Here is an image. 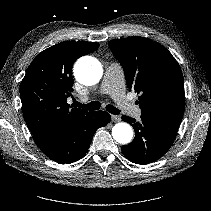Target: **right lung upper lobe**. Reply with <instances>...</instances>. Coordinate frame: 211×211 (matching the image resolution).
Instances as JSON below:
<instances>
[{"label":"right lung upper lobe","mask_w":211,"mask_h":211,"mask_svg":"<svg viewBox=\"0 0 211 211\" xmlns=\"http://www.w3.org/2000/svg\"><path fill=\"white\" fill-rule=\"evenodd\" d=\"M98 47L96 42H62L39 53L30 64L20 85L22 112L42 152L56 144L79 117L88 113L72 108L67 98H73V63Z\"/></svg>","instance_id":"cb5924a9"}]
</instances>
